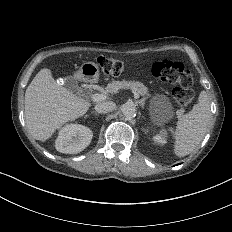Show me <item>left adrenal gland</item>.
I'll return each mask as SVG.
<instances>
[{
  "instance_id": "left-adrenal-gland-1",
  "label": "left adrenal gland",
  "mask_w": 232,
  "mask_h": 232,
  "mask_svg": "<svg viewBox=\"0 0 232 232\" xmlns=\"http://www.w3.org/2000/svg\"><path fill=\"white\" fill-rule=\"evenodd\" d=\"M138 104H139L141 107H144L145 104H146V102H145V100H140V101H138Z\"/></svg>"
}]
</instances>
